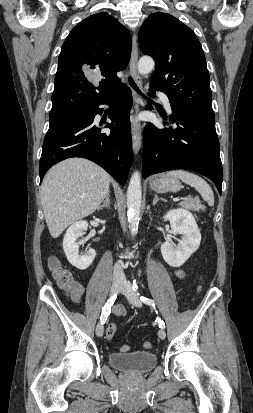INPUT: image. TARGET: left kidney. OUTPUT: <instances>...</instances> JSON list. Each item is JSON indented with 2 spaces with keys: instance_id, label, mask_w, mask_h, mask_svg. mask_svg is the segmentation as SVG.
<instances>
[{
  "instance_id": "1",
  "label": "left kidney",
  "mask_w": 253,
  "mask_h": 413,
  "mask_svg": "<svg viewBox=\"0 0 253 413\" xmlns=\"http://www.w3.org/2000/svg\"><path fill=\"white\" fill-rule=\"evenodd\" d=\"M169 221L174 235H181L178 244L164 242L161 253L165 262L171 267L182 266L197 251L201 242V233L194 216L186 209L170 210L163 217Z\"/></svg>"
}]
</instances>
